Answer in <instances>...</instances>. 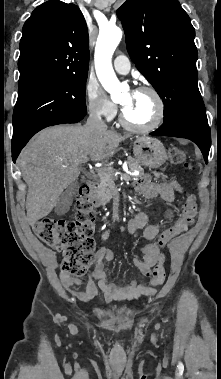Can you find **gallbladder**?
Instances as JSON below:
<instances>
[{
  "mask_svg": "<svg viewBox=\"0 0 221 379\" xmlns=\"http://www.w3.org/2000/svg\"><path fill=\"white\" fill-rule=\"evenodd\" d=\"M78 189L77 183H71L59 196L55 205V213L57 215L66 214L73 203V197Z\"/></svg>",
  "mask_w": 221,
  "mask_h": 379,
  "instance_id": "bac80fb5",
  "label": "gallbladder"
}]
</instances>
